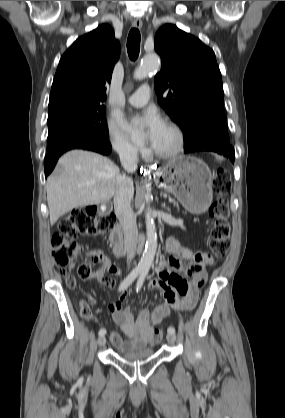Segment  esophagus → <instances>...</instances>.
<instances>
[{
    "mask_svg": "<svg viewBox=\"0 0 285 418\" xmlns=\"http://www.w3.org/2000/svg\"><path fill=\"white\" fill-rule=\"evenodd\" d=\"M132 26H133L134 28L140 29V28L142 27V21H141V19H140V18H135V19L133 20V22H132ZM145 169H146L147 171H152V170L154 169V165H147V166L145 167Z\"/></svg>",
    "mask_w": 285,
    "mask_h": 418,
    "instance_id": "esophagus-1",
    "label": "esophagus"
}]
</instances>
